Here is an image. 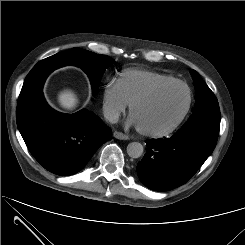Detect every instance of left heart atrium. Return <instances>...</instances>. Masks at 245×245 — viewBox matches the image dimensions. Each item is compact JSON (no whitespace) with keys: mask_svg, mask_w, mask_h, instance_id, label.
Here are the masks:
<instances>
[{"mask_svg":"<svg viewBox=\"0 0 245 245\" xmlns=\"http://www.w3.org/2000/svg\"><path fill=\"white\" fill-rule=\"evenodd\" d=\"M128 124L131 125V126L138 127L137 122H136L135 118L132 115L128 119Z\"/></svg>","mask_w":245,"mask_h":245,"instance_id":"39dd6f15","label":"left heart atrium"}]
</instances>
